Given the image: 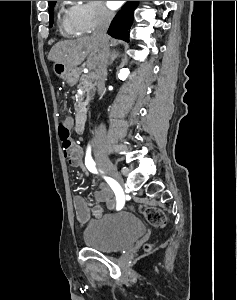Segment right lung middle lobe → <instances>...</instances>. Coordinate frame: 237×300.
Instances as JSON below:
<instances>
[{"label": "right lung middle lobe", "instance_id": "dd1d6c3e", "mask_svg": "<svg viewBox=\"0 0 237 300\" xmlns=\"http://www.w3.org/2000/svg\"><path fill=\"white\" fill-rule=\"evenodd\" d=\"M56 1H53L52 3L49 4V14H50V18H49V26L51 27L53 24V7L55 5Z\"/></svg>", "mask_w": 237, "mask_h": 300}]
</instances>
